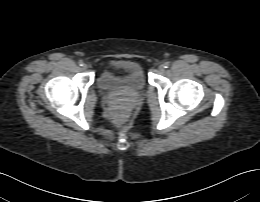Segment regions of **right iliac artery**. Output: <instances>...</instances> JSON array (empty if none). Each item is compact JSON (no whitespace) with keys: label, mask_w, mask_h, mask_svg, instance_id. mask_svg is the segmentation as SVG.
<instances>
[{"label":"right iliac artery","mask_w":260,"mask_h":202,"mask_svg":"<svg viewBox=\"0 0 260 202\" xmlns=\"http://www.w3.org/2000/svg\"><path fill=\"white\" fill-rule=\"evenodd\" d=\"M78 64H79V66H83V65H84V63H83L82 60H79V61H78Z\"/></svg>","instance_id":"82829eb1"}]
</instances>
